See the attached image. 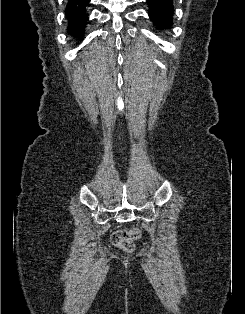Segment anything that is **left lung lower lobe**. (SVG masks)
Instances as JSON below:
<instances>
[{
    "mask_svg": "<svg viewBox=\"0 0 245 314\" xmlns=\"http://www.w3.org/2000/svg\"><path fill=\"white\" fill-rule=\"evenodd\" d=\"M147 4L153 24L161 30L170 28L174 14L172 0H147Z\"/></svg>",
    "mask_w": 245,
    "mask_h": 314,
    "instance_id": "1",
    "label": "left lung lower lobe"
}]
</instances>
